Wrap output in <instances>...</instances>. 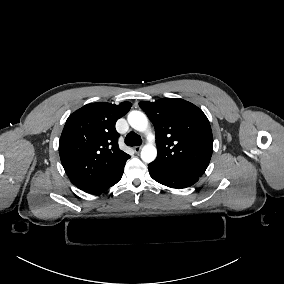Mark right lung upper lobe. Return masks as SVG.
Masks as SVG:
<instances>
[{
  "label": "right lung upper lobe",
  "instance_id": "right-lung-upper-lobe-1",
  "mask_svg": "<svg viewBox=\"0 0 284 284\" xmlns=\"http://www.w3.org/2000/svg\"><path fill=\"white\" fill-rule=\"evenodd\" d=\"M131 105L91 103L68 117L59 141V154L70 181L79 189L90 193L130 158L118 147L115 123Z\"/></svg>",
  "mask_w": 284,
  "mask_h": 284
}]
</instances>
